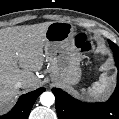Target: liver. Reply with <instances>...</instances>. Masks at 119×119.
Returning <instances> with one entry per match:
<instances>
[{
    "label": "liver",
    "mask_w": 119,
    "mask_h": 119,
    "mask_svg": "<svg viewBox=\"0 0 119 119\" xmlns=\"http://www.w3.org/2000/svg\"><path fill=\"white\" fill-rule=\"evenodd\" d=\"M51 23L0 31V112L8 108L17 96L16 81L27 79L23 88L38 85L33 72L43 66L45 34Z\"/></svg>",
    "instance_id": "6515ba94"
}]
</instances>
